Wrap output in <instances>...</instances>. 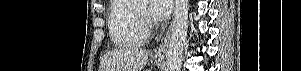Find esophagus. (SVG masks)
I'll return each instance as SVG.
<instances>
[{
    "mask_svg": "<svg viewBox=\"0 0 301 71\" xmlns=\"http://www.w3.org/2000/svg\"><path fill=\"white\" fill-rule=\"evenodd\" d=\"M171 33V26L169 30L166 33L165 38L162 40V42L159 44V46L154 50L153 57L156 59H163L165 58L167 54V47H168V41Z\"/></svg>",
    "mask_w": 301,
    "mask_h": 71,
    "instance_id": "34e87169",
    "label": "esophagus"
}]
</instances>
